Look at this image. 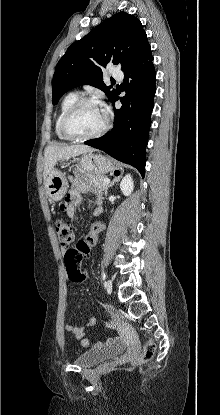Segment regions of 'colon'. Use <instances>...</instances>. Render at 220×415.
Masks as SVG:
<instances>
[{"label":"colon","mask_w":220,"mask_h":415,"mask_svg":"<svg viewBox=\"0 0 220 415\" xmlns=\"http://www.w3.org/2000/svg\"><path fill=\"white\" fill-rule=\"evenodd\" d=\"M55 231L60 244L66 248L64 259L68 277L73 283H80L87 278V274L81 269L82 259L89 253L90 247L83 239L74 242V234L71 225L66 220H58L55 223ZM155 344L148 341L142 354L137 356L134 364L140 365L151 358L155 354Z\"/></svg>","instance_id":"obj_1"}]
</instances>
